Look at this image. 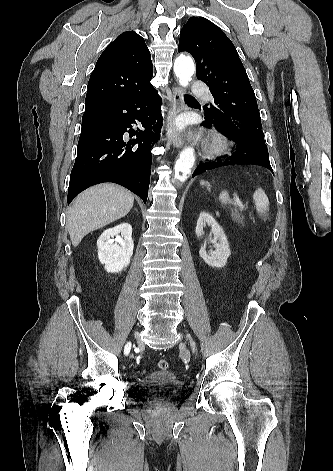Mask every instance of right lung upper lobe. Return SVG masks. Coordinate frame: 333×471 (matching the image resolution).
<instances>
[{
  "label": "right lung upper lobe",
  "mask_w": 333,
  "mask_h": 471,
  "mask_svg": "<svg viewBox=\"0 0 333 471\" xmlns=\"http://www.w3.org/2000/svg\"><path fill=\"white\" fill-rule=\"evenodd\" d=\"M152 76L151 55L144 39L133 31L120 34L103 51L90 76L85 112L145 89Z\"/></svg>",
  "instance_id": "obj_1"
}]
</instances>
